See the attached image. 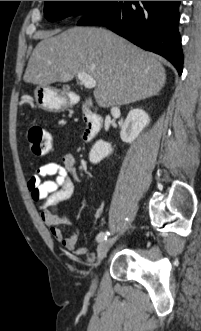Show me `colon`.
Returning <instances> with one entry per match:
<instances>
[{"label": "colon", "mask_w": 201, "mask_h": 331, "mask_svg": "<svg viewBox=\"0 0 201 331\" xmlns=\"http://www.w3.org/2000/svg\"><path fill=\"white\" fill-rule=\"evenodd\" d=\"M28 143L36 156H44L50 152L53 145L51 134L40 126H32L28 131Z\"/></svg>", "instance_id": "obj_1"}]
</instances>
